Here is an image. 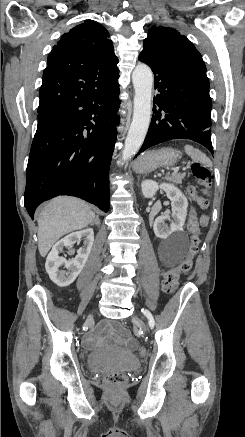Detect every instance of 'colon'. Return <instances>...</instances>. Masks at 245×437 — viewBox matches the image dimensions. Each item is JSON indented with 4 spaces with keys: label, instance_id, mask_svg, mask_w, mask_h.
Wrapping results in <instances>:
<instances>
[{
    "label": "colon",
    "instance_id": "5ec220e1",
    "mask_svg": "<svg viewBox=\"0 0 245 437\" xmlns=\"http://www.w3.org/2000/svg\"><path fill=\"white\" fill-rule=\"evenodd\" d=\"M191 173L196 181L207 188L210 184V171L209 169L199 162H194L191 165ZM190 195L196 200L198 206L201 209H206L208 207V201L205 197L200 196L196 193V190L191 187L189 189ZM199 243V237L194 234L191 240V246L188 256L176 267L169 269L164 272L162 278V289L165 293H173L179 284V279L182 274L190 271L193 264V257L197 252V247ZM135 351L139 356H144L146 349L142 346L135 347ZM107 384L111 386H120L125 381V376L119 373L110 374L105 378Z\"/></svg>",
    "mask_w": 245,
    "mask_h": 437
}]
</instances>
